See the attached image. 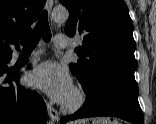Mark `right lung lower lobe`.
Wrapping results in <instances>:
<instances>
[{"mask_svg": "<svg viewBox=\"0 0 156 124\" xmlns=\"http://www.w3.org/2000/svg\"><path fill=\"white\" fill-rule=\"evenodd\" d=\"M12 54L0 57V124H45L46 105L40 95L19 85V74L14 84L7 63ZM10 74L6 78L4 75Z\"/></svg>", "mask_w": 156, "mask_h": 124, "instance_id": "right-lung-lower-lobe-1", "label": "right lung lower lobe"}]
</instances>
